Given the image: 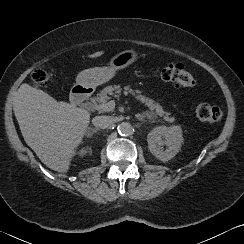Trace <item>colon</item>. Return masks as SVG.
<instances>
[{"instance_id": "5ec220e1", "label": "colon", "mask_w": 244, "mask_h": 244, "mask_svg": "<svg viewBox=\"0 0 244 244\" xmlns=\"http://www.w3.org/2000/svg\"><path fill=\"white\" fill-rule=\"evenodd\" d=\"M156 73L161 80L181 87H191L195 83L193 75L181 64H167ZM32 79L35 85L41 86L47 83L49 74L45 68H39L33 73ZM195 114L200 121L215 124L222 120L224 112L221 105L202 102L195 107Z\"/></svg>"}]
</instances>
